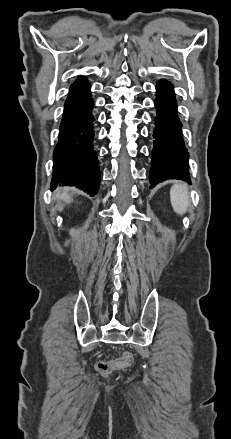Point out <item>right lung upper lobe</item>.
Here are the masks:
<instances>
[{"instance_id": "cb5924a9", "label": "right lung upper lobe", "mask_w": 231, "mask_h": 439, "mask_svg": "<svg viewBox=\"0 0 231 439\" xmlns=\"http://www.w3.org/2000/svg\"><path fill=\"white\" fill-rule=\"evenodd\" d=\"M83 79V77H80L78 80H76V82L82 81Z\"/></svg>"}]
</instances>
